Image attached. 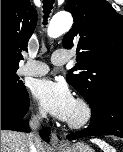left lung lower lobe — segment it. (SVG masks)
I'll list each match as a JSON object with an SVG mask.
<instances>
[{
  "label": "left lung lower lobe",
  "mask_w": 123,
  "mask_h": 152,
  "mask_svg": "<svg viewBox=\"0 0 123 152\" xmlns=\"http://www.w3.org/2000/svg\"><path fill=\"white\" fill-rule=\"evenodd\" d=\"M91 107V123L79 132L68 134V140L88 136L115 135L123 138V92L113 91L99 96Z\"/></svg>",
  "instance_id": "0a47b994"
}]
</instances>
